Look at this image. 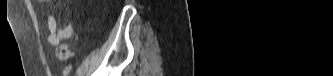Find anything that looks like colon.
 Returning a JSON list of instances; mask_svg holds the SVG:
<instances>
[{
  "instance_id": "1",
  "label": "colon",
  "mask_w": 333,
  "mask_h": 76,
  "mask_svg": "<svg viewBox=\"0 0 333 76\" xmlns=\"http://www.w3.org/2000/svg\"><path fill=\"white\" fill-rule=\"evenodd\" d=\"M71 54V50L67 44L60 45L56 49V55L61 60L69 59L71 57Z\"/></svg>"
}]
</instances>
